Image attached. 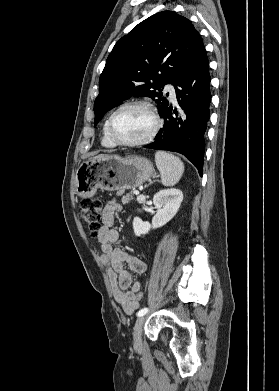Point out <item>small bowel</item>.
<instances>
[{
    "instance_id": "c3829d8e",
    "label": "small bowel",
    "mask_w": 279,
    "mask_h": 391,
    "mask_svg": "<svg viewBox=\"0 0 279 391\" xmlns=\"http://www.w3.org/2000/svg\"><path fill=\"white\" fill-rule=\"evenodd\" d=\"M120 210L121 206L115 200L107 202L97 237L102 250L100 261L108 268L113 296L125 313L132 314L139 307L137 294L142 290V283L133 282L131 274L124 268V265L127 264L132 271L142 274L146 272L147 264L114 246L120 234L119 230L114 228V220Z\"/></svg>"
}]
</instances>
